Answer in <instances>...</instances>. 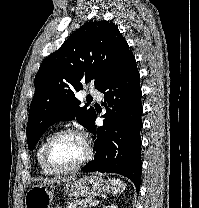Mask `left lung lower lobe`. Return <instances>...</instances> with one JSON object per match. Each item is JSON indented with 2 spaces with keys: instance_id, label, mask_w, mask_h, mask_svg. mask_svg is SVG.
<instances>
[{
  "instance_id": "0a47b994",
  "label": "left lung lower lobe",
  "mask_w": 199,
  "mask_h": 208,
  "mask_svg": "<svg viewBox=\"0 0 199 208\" xmlns=\"http://www.w3.org/2000/svg\"><path fill=\"white\" fill-rule=\"evenodd\" d=\"M140 75L135 57L127 58L98 90L104 94L107 112L103 126L96 127V113L89 131L94 134L96 156L83 172H113L129 178L140 189L141 115Z\"/></svg>"
}]
</instances>
